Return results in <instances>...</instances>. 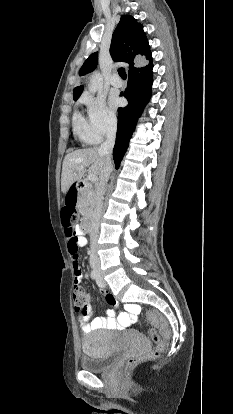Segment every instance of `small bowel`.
Segmentation results:
<instances>
[{"label": "small bowel", "mask_w": 233, "mask_h": 414, "mask_svg": "<svg viewBox=\"0 0 233 414\" xmlns=\"http://www.w3.org/2000/svg\"><path fill=\"white\" fill-rule=\"evenodd\" d=\"M76 238L78 247H84L87 244L86 237L80 232L76 231ZM74 272V289H79L81 286V280L83 278L82 269L78 258L80 252L75 250L72 252ZM106 301L112 306V308L105 311V314L101 317H94L97 315L95 306L86 304L82 314L84 320L81 323V330L83 334L89 333L91 330L106 328V329H126L132 327L137 321V314L140 311L139 305L135 303H127L124 306V310L121 309L118 301L110 294H105ZM81 309L80 307L78 308Z\"/></svg>", "instance_id": "small-bowel-1"}]
</instances>
